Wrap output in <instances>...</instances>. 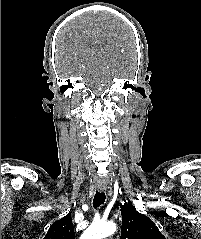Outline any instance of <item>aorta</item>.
Returning a JSON list of instances; mask_svg holds the SVG:
<instances>
[{"label":"aorta","mask_w":201,"mask_h":239,"mask_svg":"<svg viewBox=\"0 0 201 239\" xmlns=\"http://www.w3.org/2000/svg\"><path fill=\"white\" fill-rule=\"evenodd\" d=\"M116 225L113 222H100L92 224L80 239H103L114 234Z\"/></svg>","instance_id":"aorta-1"}]
</instances>
